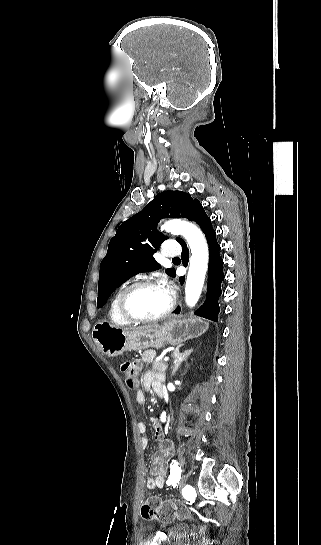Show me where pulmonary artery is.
I'll list each match as a JSON object with an SVG mask.
<instances>
[{
	"label": "pulmonary artery",
	"mask_w": 321,
	"mask_h": 545,
	"mask_svg": "<svg viewBox=\"0 0 321 545\" xmlns=\"http://www.w3.org/2000/svg\"><path fill=\"white\" fill-rule=\"evenodd\" d=\"M180 248H181V245L179 241H168L166 243V254H165L166 259L169 261H172L175 259V257H178L181 252Z\"/></svg>",
	"instance_id": "pulmonary-artery-1"
}]
</instances>
